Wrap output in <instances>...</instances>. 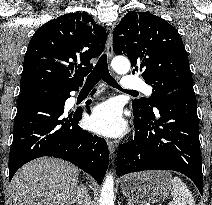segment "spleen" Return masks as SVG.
<instances>
[{
    "mask_svg": "<svg viewBox=\"0 0 212 205\" xmlns=\"http://www.w3.org/2000/svg\"><path fill=\"white\" fill-rule=\"evenodd\" d=\"M171 195L173 200L168 205H196L192 193L177 176L172 179Z\"/></svg>",
    "mask_w": 212,
    "mask_h": 205,
    "instance_id": "obj_1",
    "label": "spleen"
}]
</instances>
